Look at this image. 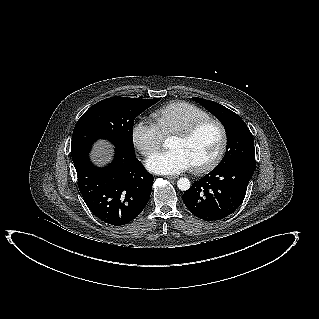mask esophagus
Masks as SVG:
<instances>
[{"label": "esophagus", "instance_id": "esophagus-1", "mask_svg": "<svg viewBox=\"0 0 319 319\" xmlns=\"http://www.w3.org/2000/svg\"><path fill=\"white\" fill-rule=\"evenodd\" d=\"M164 177L167 178V179H177L178 178L177 175H166Z\"/></svg>", "mask_w": 319, "mask_h": 319}]
</instances>
